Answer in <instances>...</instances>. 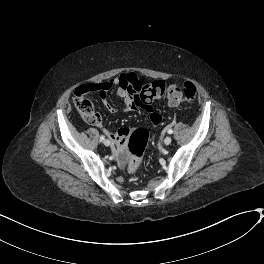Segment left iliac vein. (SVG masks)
I'll return each instance as SVG.
<instances>
[{"label": "left iliac vein", "instance_id": "left-iliac-vein-1", "mask_svg": "<svg viewBox=\"0 0 264 264\" xmlns=\"http://www.w3.org/2000/svg\"><path fill=\"white\" fill-rule=\"evenodd\" d=\"M172 142V138L170 136H166L164 138V144L169 145Z\"/></svg>", "mask_w": 264, "mask_h": 264}]
</instances>
